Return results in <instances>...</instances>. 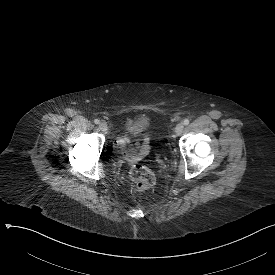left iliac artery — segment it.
<instances>
[{"mask_svg": "<svg viewBox=\"0 0 275 275\" xmlns=\"http://www.w3.org/2000/svg\"><path fill=\"white\" fill-rule=\"evenodd\" d=\"M183 123H184V125H188V124L190 123V121H189L188 119H185V120L183 121Z\"/></svg>", "mask_w": 275, "mask_h": 275, "instance_id": "obj_1", "label": "left iliac artery"}]
</instances>
